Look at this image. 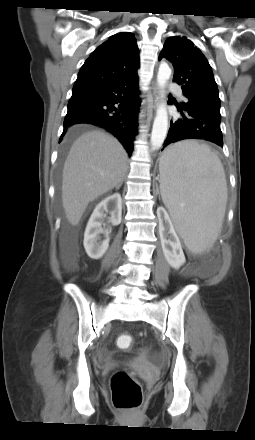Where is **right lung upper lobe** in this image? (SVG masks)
I'll list each match as a JSON object with an SVG mask.
<instances>
[{"label":"right lung upper lobe","mask_w":255,"mask_h":440,"mask_svg":"<svg viewBox=\"0 0 255 440\" xmlns=\"http://www.w3.org/2000/svg\"><path fill=\"white\" fill-rule=\"evenodd\" d=\"M139 51L134 35L120 32L97 47L81 67L73 92L106 86L136 74Z\"/></svg>","instance_id":"1"}]
</instances>
